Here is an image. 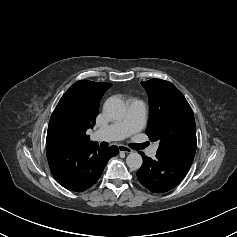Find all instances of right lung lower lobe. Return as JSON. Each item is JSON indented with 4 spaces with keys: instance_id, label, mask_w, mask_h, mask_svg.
I'll return each instance as SVG.
<instances>
[{
    "instance_id": "98d812e1",
    "label": "right lung lower lobe",
    "mask_w": 237,
    "mask_h": 237,
    "mask_svg": "<svg viewBox=\"0 0 237 237\" xmlns=\"http://www.w3.org/2000/svg\"><path fill=\"white\" fill-rule=\"evenodd\" d=\"M118 153L116 146L101 149L97 144L85 147L47 145L51 173L64 188L76 192H82L95 184L108 160Z\"/></svg>"
}]
</instances>
